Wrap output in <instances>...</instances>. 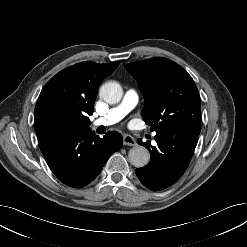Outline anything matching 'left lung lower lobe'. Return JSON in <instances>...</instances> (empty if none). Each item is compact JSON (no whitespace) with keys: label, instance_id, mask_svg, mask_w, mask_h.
Segmentation results:
<instances>
[{"label":"left lung lower lobe","instance_id":"obj_1","mask_svg":"<svg viewBox=\"0 0 247 247\" xmlns=\"http://www.w3.org/2000/svg\"><path fill=\"white\" fill-rule=\"evenodd\" d=\"M199 134L186 131L182 126H172L157 133L154 139L157 146H151L150 142H142L140 145L147 147L151 159L147 166L135 170L141 183L153 191L163 190L173 185L187 169Z\"/></svg>","mask_w":247,"mask_h":247}]
</instances>
